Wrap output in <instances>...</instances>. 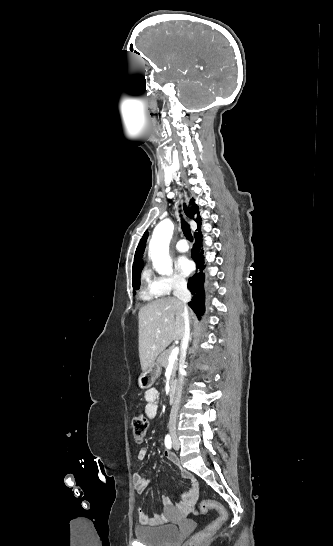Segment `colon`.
<instances>
[{"mask_svg":"<svg viewBox=\"0 0 333 546\" xmlns=\"http://www.w3.org/2000/svg\"><path fill=\"white\" fill-rule=\"evenodd\" d=\"M147 428H148L147 416L141 413L136 414L132 419V434L134 439L137 442H141L145 438ZM209 510H215L219 514L218 518L182 546H191V543L195 541L196 538L207 536L214 533L227 521L228 512L221 503L215 500H210V499L201 501L200 503L201 513L206 514Z\"/></svg>","mask_w":333,"mask_h":546,"instance_id":"1","label":"colon"}]
</instances>
